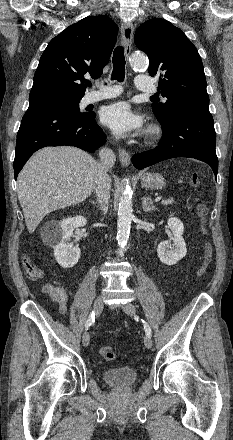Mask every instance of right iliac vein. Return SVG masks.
Masks as SVG:
<instances>
[{
  "instance_id": "63e3f726",
  "label": "right iliac vein",
  "mask_w": 233,
  "mask_h": 440,
  "mask_svg": "<svg viewBox=\"0 0 233 440\" xmlns=\"http://www.w3.org/2000/svg\"><path fill=\"white\" fill-rule=\"evenodd\" d=\"M102 309H103V299L101 296H99L93 304V310L95 315L98 316L101 313ZM89 342H90V334L88 331H86L82 337L83 346L87 347L89 345Z\"/></svg>"
}]
</instances>
